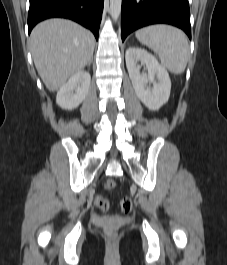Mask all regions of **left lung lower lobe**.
I'll list each match as a JSON object with an SVG mask.
<instances>
[{
    "mask_svg": "<svg viewBox=\"0 0 227 265\" xmlns=\"http://www.w3.org/2000/svg\"><path fill=\"white\" fill-rule=\"evenodd\" d=\"M156 23L177 26L191 39L188 0H122V41L134 30Z\"/></svg>",
    "mask_w": 227,
    "mask_h": 265,
    "instance_id": "left-lung-lower-lobe-1",
    "label": "left lung lower lobe"
}]
</instances>
